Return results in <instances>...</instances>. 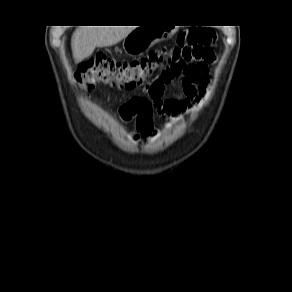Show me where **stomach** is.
Returning <instances> with one entry per match:
<instances>
[{
	"instance_id": "0dacf381",
	"label": "stomach",
	"mask_w": 292,
	"mask_h": 292,
	"mask_svg": "<svg viewBox=\"0 0 292 292\" xmlns=\"http://www.w3.org/2000/svg\"><path fill=\"white\" fill-rule=\"evenodd\" d=\"M166 34L168 31H161L155 27H137L124 38L123 49L131 56L142 55Z\"/></svg>"
}]
</instances>
